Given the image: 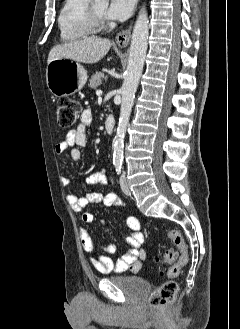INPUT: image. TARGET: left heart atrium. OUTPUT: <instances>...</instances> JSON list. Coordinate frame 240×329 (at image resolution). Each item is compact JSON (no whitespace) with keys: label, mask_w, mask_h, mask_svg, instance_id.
<instances>
[{"label":"left heart atrium","mask_w":240,"mask_h":329,"mask_svg":"<svg viewBox=\"0 0 240 329\" xmlns=\"http://www.w3.org/2000/svg\"><path fill=\"white\" fill-rule=\"evenodd\" d=\"M136 0H110L105 16L110 20L123 21L132 13Z\"/></svg>","instance_id":"39dd6f15"}]
</instances>
